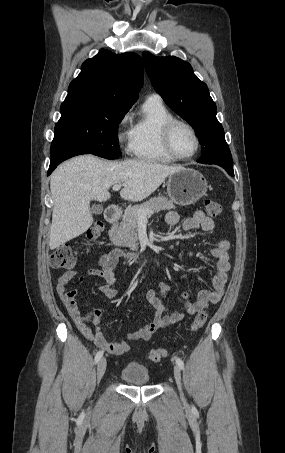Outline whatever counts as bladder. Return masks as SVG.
<instances>
[{
	"instance_id": "31cf9c89",
	"label": "bladder",
	"mask_w": 285,
	"mask_h": 453,
	"mask_svg": "<svg viewBox=\"0 0 285 453\" xmlns=\"http://www.w3.org/2000/svg\"><path fill=\"white\" fill-rule=\"evenodd\" d=\"M120 377L123 381L131 385L142 386L150 383L148 369L135 362L126 364L120 372Z\"/></svg>"
}]
</instances>
